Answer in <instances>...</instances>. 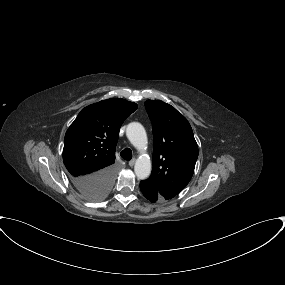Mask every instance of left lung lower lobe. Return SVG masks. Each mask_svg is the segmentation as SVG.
I'll use <instances>...</instances> for the list:
<instances>
[{"label":"left lung lower lobe","mask_w":285,"mask_h":285,"mask_svg":"<svg viewBox=\"0 0 285 285\" xmlns=\"http://www.w3.org/2000/svg\"><path fill=\"white\" fill-rule=\"evenodd\" d=\"M140 189L143 195L152 203H155L158 199H165L160 195L157 189L146 180L140 182Z\"/></svg>","instance_id":"0a47b994"}]
</instances>
